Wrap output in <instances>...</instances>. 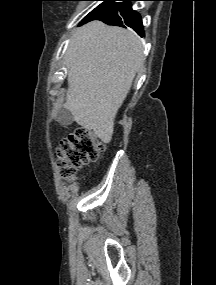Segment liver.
<instances>
[{
    "label": "liver",
    "instance_id": "1",
    "mask_svg": "<svg viewBox=\"0 0 216 285\" xmlns=\"http://www.w3.org/2000/svg\"><path fill=\"white\" fill-rule=\"evenodd\" d=\"M65 64V108L77 124L109 143L118 109L143 67L140 38L131 30L90 22L73 34Z\"/></svg>",
    "mask_w": 216,
    "mask_h": 285
}]
</instances>
